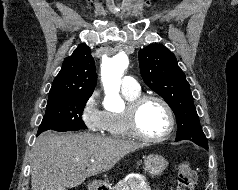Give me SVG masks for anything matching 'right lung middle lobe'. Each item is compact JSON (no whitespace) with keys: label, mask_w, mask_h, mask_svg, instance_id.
<instances>
[{"label":"right lung middle lobe","mask_w":238,"mask_h":190,"mask_svg":"<svg viewBox=\"0 0 238 190\" xmlns=\"http://www.w3.org/2000/svg\"><path fill=\"white\" fill-rule=\"evenodd\" d=\"M89 97L90 95H71L49 99L37 134L49 129L56 131L86 129L81 115Z\"/></svg>","instance_id":"obj_1"}]
</instances>
